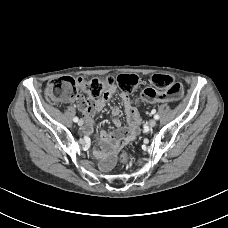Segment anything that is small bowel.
<instances>
[{
	"mask_svg": "<svg viewBox=\"0 0 228 228\" xmlns=\"http://www.w3.org/2000/svg\"><path fill=\"white\" fill-rule=\"evenodd\" d=\"M114 91L115 87H111L97 99H80L78 101L79 109L85 120L84 133L90 134L94 132L93 117L104 108ZM121 98L126 109L128 126L121 128V121L116 118L120 114V108L114 106L112 108V115L115 116L113 120L115 131L113 133H106L104 131L98 133V140L105 154L104 165L107 168L113 165L116 152L128 142L135 140L140 132L141 117L134 106L133 100L125 93L121 94Z\"/></svg>",
	"mask_w": 228,
	"mask_h": 228,
	"instance_id": "1",
	"label": "small bowel"
}]
</instances>
